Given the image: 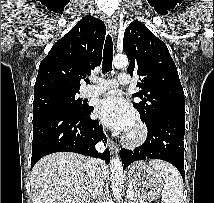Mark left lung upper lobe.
<instances>
[{
	"label": "left lung upper lobe",
	"instance_id": "1",
	"mask_svg": "<svg viewBox=\"0 0 214 203\" xmlns=\"http://www.w3.org/2000/svg\"><path fill=\"white\" fill-rule=\"evenodd\" d=\"M123 51L130 59L127 71L139 75L134 107L144 122L164 113L185 114L184 91L167 46L138 20L126 28Z\"/></svg>",
	"mask_w": 214,
	"mask_h": 203
}]
</instances>
